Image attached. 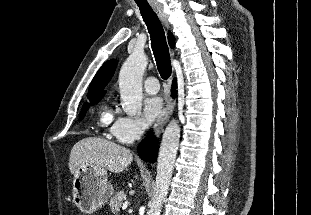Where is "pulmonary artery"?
I'll return each instance as SVG.
<instances>
[{
  "label": "pulmonary artery",
  "mask_w": 311,
  "mask_h": 215,
  "mask_svg": "<svg viewBox=\"0 0 311 215\" xmlns=\"http://www.w3.org/2000/svg\"><path fill=\"white\" fill-rule=\"evenodd\" d=\"M144 88L150 94H155L159 91V82L155 77H148L144 81Z\"/></svg>",
  "instance_id": "e3ab8cb5"
}]
</instances>
